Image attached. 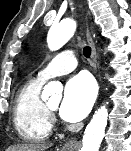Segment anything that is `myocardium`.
<instances>
[{"label": "myocardium", "mask_w": 131, "mask_h": 151, "mask_svg": "<svg viewBox=\"0 0 131 151\" xmlns=\"http://www.w3.org/2000/svg\"><path fill=\"white\" fill-rule=\"evenodd\" d=\"M47 108H48L50 114H53L55 112V109L50 107L49 105H47Z\"/></svg>", "instance_id": "obj_1"}]
</instances>
